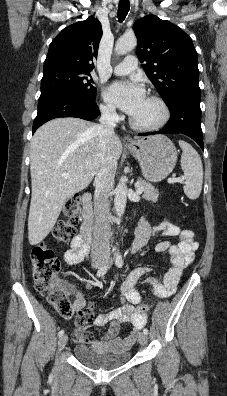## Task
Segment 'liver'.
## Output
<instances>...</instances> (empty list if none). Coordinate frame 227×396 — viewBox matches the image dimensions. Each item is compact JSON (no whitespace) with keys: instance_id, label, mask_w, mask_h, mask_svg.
Segmentation results:
<instances>
[{"instance_id":"liver-1","label":"liver","mask_w":227,"mask_h":396,"mask_svg":"<svg viewBox=\"0 0 227 396\" xmlns=\"http://www.w3.org/2000/svg\"><path fill=\"white\" fill-rule=\"evenodd\" d=\"M95 124L63 117L42 125L30 148L32 195L28 217V240L40 243L54 227L66 202L85 189L100 167L102 147ZM111 156L122 153L118 136L111 138ZM63 174H69L64 178Z\"/></svg>"}]
</instances>
